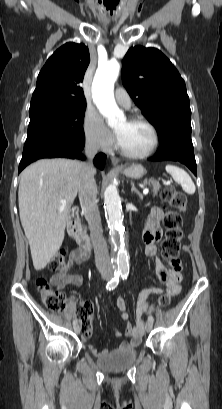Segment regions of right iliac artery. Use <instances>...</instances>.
I'll use <instances>...</instances> for the list:
<instances>
[{"label":"right iliac artery","mask_w":222,"mask_h":409,"mask_svg":"<svg viewBox=\"0 0 222 409\" xmlns=\"http://www.w3.org/2000/svg\"><path fill=\"white\" fill-rule=\"evenodd\" d=\"M120 275H121V272L120 271H118L117 273L115 272L114 273V277L107 283V285H106V289L107 290H113V289H115V287L118 285V283H119V277H120ZM77 324V319H74L73 320V325H76Z\"/></svg>","instance_id":"right-iliac-artery-1"}]
</instances>
